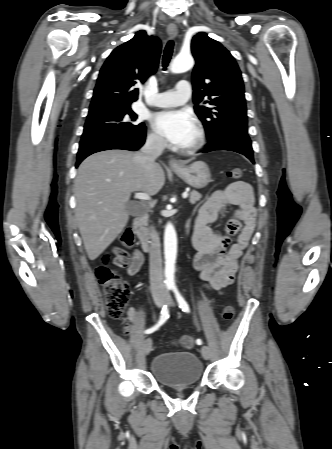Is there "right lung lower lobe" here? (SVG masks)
<instances>
[{"mask_svg":"<svg viewBox=\"0 0 332 449\" xmlns=\"http://www.w3.org/2000/svg\"><path fill=\"white\" fill-rule=\"evenodd\" d=\"M145 137L146 128L140 133L131 136L101 134L83 138L80 141L76 167L87 156L99 151L110 149L138 150L144 144Z\"/></svg>","mask_w":332,"mask_h":449,"instance_id":"1","label":"right lung lower lobe"}]
</instances>
